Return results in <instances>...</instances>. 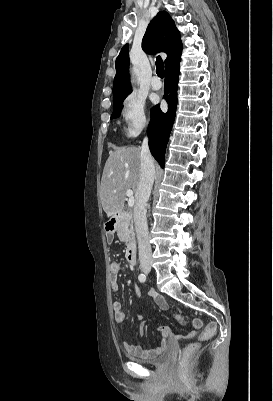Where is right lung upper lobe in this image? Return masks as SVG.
I'll use <instances>...</instances> for the list:
<instances>
[{"mask_svg":"<svg viewBox=\"0 0 273 401\" xmlns=\"http://www.w3.org/2000/svg\"><path fill=\"white\" fill-rule=\"evenodd\" d=\"M142 49L148 53L165 52V68L180 61L182 42L174 21L166 11H160L148 25L142 40ZM128 44L124 45L116 59V75L113 84V108L121 105L131 92L129 80Z\"/></svg>","mask_w":273,"mask_h":401,"instance_id":"obj_1","label":"right lung upper lobe"}]
</instances>
